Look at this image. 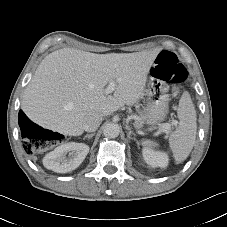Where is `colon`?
Instances as JSON below:
<instances>
[{
    "instance_id": "1",
    "label": "colon",
    "mask_w": 227,
    "mask_h": 227,
    "mask_svg": "<svg viewBox=\"0 0 227 227\" xmlns=\"http://www.w3.org/2000/svg\"><path fill=\"white\" fill-rule=\"evenodd\" d=\"M152 74L172 87L174 94L179 92L182 83L187 78L186 67L178 60L175 54L163 51L161 52L152 67ZM50 132L40 128L29 130L28 139L23 143V149L26 153H34L47 148Z\"/></svg>"
}]
</instances>
